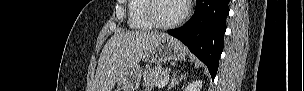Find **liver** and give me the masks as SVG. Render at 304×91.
Listing matches in <instances>:
<instances>
[{"instance_id":"1","label":"liver","mask_w":304,"mask_h":91,"mask_svg":"<svg viewBox=\"0 0 304 91\" xmlns=\"http://www.w3.org/2000/svg\"><path fill=\"white\" fill-rule=\"evenodd\" d=\"M167 37L148 31L116 32L100 54L93 91H111L123 71L147 59L152 48Z\"/></svg>"}]
</instances>
